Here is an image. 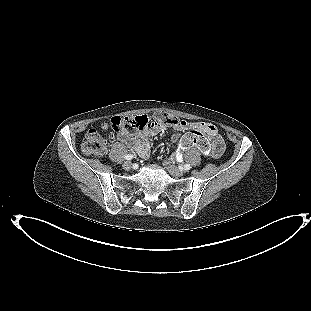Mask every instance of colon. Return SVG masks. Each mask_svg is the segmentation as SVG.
Wrapping results in <instances>:
<instances>
[{"label": "colon", "mask_w": 311, "mask_h": 311, "mask_svg": "<svg viewBox=\"0 0 311 311\" xmlns=\"http://www.w3.org/2000/svg\"><path fill=\"white\" fill-rule=\"evenodd\" d=\"M187 121L160 112L150 119L146 115L136 117H115L109 123L102 126L103 132L96 129H90L82 142L81 149L86 155L100 156L106 152L107 136L105 132H115L118 134H130L135 131H143L151 126L168 125L185 127ZM183 147L196 146L203 152L209 149L208 141L198 131H190L182 140Z\"/></svg>", "instance_id": "5ec220e1"}]
</instances>
